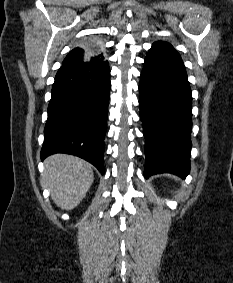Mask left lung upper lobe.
Wrapping results in <instances>:
<instances>
[{
  "instance_id": "obj_1",
  "label": "left lung upper lobe",
  "mask_w": 233,
  "mask_h": 283,
  "mask_svg": "<svg viewBox=\"0 0 233 283\" xmlns=\"http://www.w3.org/2000/svg\"><path fill=\"white\" fill-rule=\"evenodd\" d=\"M162 41H158V42H155V43H161Z\"/></svg>"
}]
</instances>
